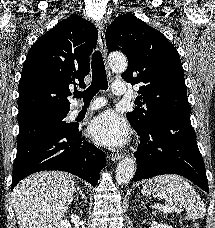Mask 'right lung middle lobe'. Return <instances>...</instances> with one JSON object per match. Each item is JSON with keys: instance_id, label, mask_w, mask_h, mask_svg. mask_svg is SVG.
Segmentation results:
<instances>
[{"instance_id": "dd1d6c3e", "label": "right lung middle lobe", "mask_w": 215, "mask_h": 228, "mask_svg": "<svg viewBox=\"0 0 215 228\" xmlns=\"http://www.w3.org/2000/svg\"><path fill=\"white\" fill-rule=\"evenodd\" d=\"M67 114L68 113L45 115L19 123V135L17 142L47 130L74 129L76 125L66 123L65 121Z\"/></svg>"}]
</instances>
